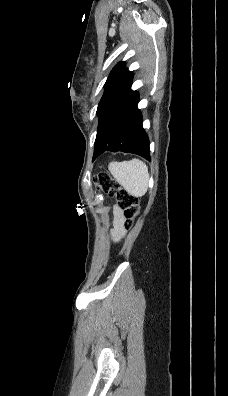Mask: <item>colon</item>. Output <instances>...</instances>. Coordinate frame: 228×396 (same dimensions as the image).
Here are the masks:
<instances>
[{
	"label": "colon",
	"instance_id": "1",
	"mask_svg": "<svg viewBox=\"0 0 228 396\" xmlns=\"http://www.w3.org/2000/svg\"><path fill=\"white\" fill-rule=\"evenodd\" d=\"M93 183L98 191L114 196L117 199L118 205L126 218V226L131 227L140 211L137 197L122 188L121 185L107 173L95 175L93 177Z\"/></svg>",
	"mask_w": 228,
	"mask_h": 396
}]
</instances>
